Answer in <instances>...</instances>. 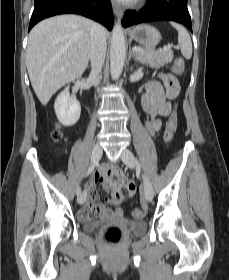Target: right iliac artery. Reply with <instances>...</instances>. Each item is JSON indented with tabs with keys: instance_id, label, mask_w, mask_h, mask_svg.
Segmentation results:
<instances>
[{
	"instance_id": "82829eb1",
	"label": "right iliac artery",
	"mask_w": 229,
	"mask_h": 280,
	"mask_svg": "<svg viewBox=\"0 0 229 280\" xmlns=\"http://www.w3.org/2000/svg\"><path fill=\"white\" fill-rule=\"evenodd\" d=\"M94 168H95V164H94V165H91V166L88 168V170L86 171L85 176H89L90 174H92L93 171H94ZM76 194H77V196H79V195L81 194V187H80V186H78V188H77V190H76Z\"/></svg>"
}]
</instances>
